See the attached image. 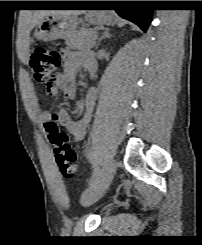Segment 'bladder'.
I'll list each match as a JSON object with an SVG mask.
<instances>
[{"mask_svg": "<svg viewBox=\"0 0 202 245\" xmlns=\"http://www.w3.org/2000/svg\"><path fill=\"white\" fill-rule=\"evenodd\" d=\"M81 206L82 207H86V206H89V205H86L83 201H81Z\"/></svg>", "mask_w": 202, "mask_h": 245, "instance_id": "obj_1", "label": "bladder"}]
</instances>
